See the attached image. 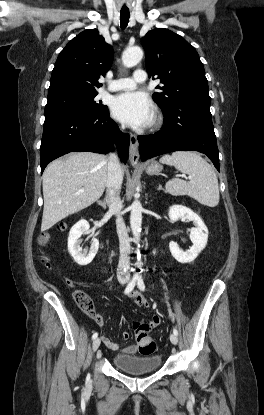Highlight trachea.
Returning a JSON list of instances; mask_svg holds the SVG:
<instances>
[{
	"label": "trachea",
	"instance_id": "obj_1",
	"mask_svg": "<svg viewBox=\"0 0 264 415\" xmlns=\"http://www.w3.org/2000/svg\"><path fill=\"white\" fill-rule=\"evenodd\" d=\"M130 14L129 12L120 13V25L122 29H125L129 22Z\"/></svg>",
	"mask_w": 264,
	"mask_h": 415
}]
</instances>
